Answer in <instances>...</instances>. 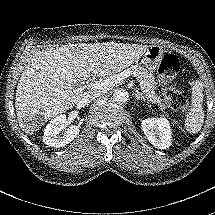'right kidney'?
Here are the masks:
<instances>
[{"mask_svg":"<svg viewBox=\"0 0 215 215\" xmlns=\"http://www.w3.org/2000/svg\"><path fill=\"white\" fill-rule=\"evenodd\" d=\"M68 121L65 114L59 115L52 119L44 129L43 142L50 147H64L69 144L80 132L79 126L71 125L65 129ZM64 133L60 135L61 131Z\"/></svg>","mask_w":215,"mask_h":215,"instance_id":"obj_1","label":"right kidney"}]
</instances>
